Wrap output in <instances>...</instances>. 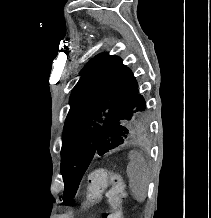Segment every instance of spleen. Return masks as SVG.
Segmentation results:
<instances>
[{"instance_id":"1","label":"spleen","mask_w":211,"mask_h":218,"mask_svg":"<svg viewBox=\"0 0 211 218\" xmlns=\"http://www.w3.org/2000/svg\"><path fill=\"white\" fill-rule=\"evenodd\" d=\"M127 166L129 186L137 202H144L147 194L148 170L144 158L138 152H130Z\"/></svg>"}]
</instances>
